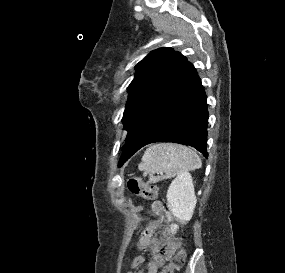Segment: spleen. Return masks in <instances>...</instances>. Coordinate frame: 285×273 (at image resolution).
I'll return each mask as SVG.
<instances>
[{
    "label": "spleen",
    "mask_w": 285,
    "mask_h": 273,
    "mask_svg": "<svg viewBox=\"0 0 285 273\" xmlns=\"http://www.w3.org/2000/svg\"><path fill=\"white\" fill-rule=\"evenodd\" d=\"M201 166L200 157L192 149L179 144L160 143L145 151L139 169L149 174L150 182H156L199 169ZM155 174L158 176H154Z\"/></svg>",
    "instance_id": "1"
}]
</instances>
